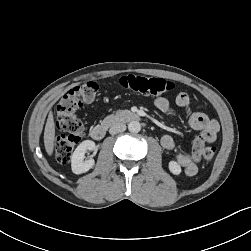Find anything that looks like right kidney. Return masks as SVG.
Here are the masks:
<instances>
[{
  "instance_id": "ca27d5eb",
  "label": "right kidney",
  "mask_w": 251,
  "mask_h": 251,
  "mask_svg": "<svg viewBox=\"0 0 251 251\" xmlns=\"http://www.w3.org/2000/svg\"><path fill=\"white\" fill-rule=\"evenodd\" d=\"M95 143L91 140H85L78 145L71 156V169L75 174H82L93 168L95 161L90 158L85 160V153L93 151Z\"/></svg>"
}]
</instances>
